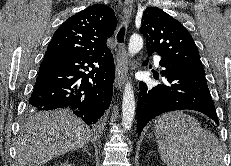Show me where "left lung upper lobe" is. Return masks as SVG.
Listing matches in <instances>:
<instances>
[{"label":"left lung upper lobe","instance_id":"5c2ea615","mask_svg":"<svg viewBox=\"0 0 231 166\" xmlns=\"http://www.w3.org/2000/svg\"><path fill=\"white\" fill-rule=\"evenodd\" d=\"M140 33L146 38L148 52L176 65L202 67L197 46L188 30L157 7L146 8Z\"/></svg>","mask_w":231,"mask_h":166}]
</instances>
